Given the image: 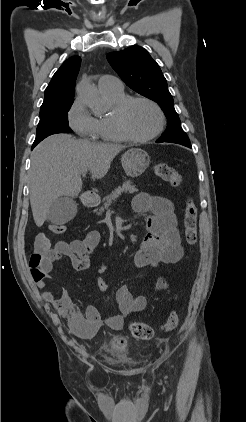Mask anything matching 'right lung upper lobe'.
Returning <instances> with one entry per match:
<instances>
[{
  "label": "right lung upper lobe",
  "mask_w": 246,
  "mask_h": 422,
  "mask_svg": "<svg viewBox=\"0 0 246 422\" xmlns=\"http://www.w3.org/2000/svg\"><path fill=\"white\" fill-rule=\"evenodd\" d=\"M80 64L81 58L79 56H73L60 66L45 89L42 106L64 100H74L75 82Z\"/></svg>",
  "instance_id": "1"
}]
</instances>
